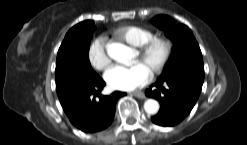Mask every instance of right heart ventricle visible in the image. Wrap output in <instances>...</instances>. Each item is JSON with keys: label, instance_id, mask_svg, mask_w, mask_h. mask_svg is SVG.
I'll use <instances>...</instances> for the list:
<instances>
[{"label": "right heart ventricle", "instance_id": "1", "mask_svg": "<svg viewBox=\"0 0 247 145\" xmlns=\"http://www.w3.org/2000/svg\"><path fill=\"white\" fill-rule=\"evenodd\" d=\"M115 34L134 47H138L154 37V33L150 29L134 25L121 27L116 30Z\"/></svg>", "mask_w": 247, "mask_h": 145}]
</instances>
